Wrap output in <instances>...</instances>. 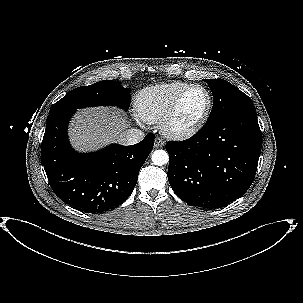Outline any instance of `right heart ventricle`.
I'll return each instance as SVG.
<instances>
[{"label":"right heart ventricle","mask_w":303,"mask_h":303,"mask_svg":"<svg viewBox=\"0 0 303 303\" xmlns=\"http://www.w3.org/2000/svg\"><path fill=\"white\" fill-rule=\"evenodd\" d=\"M189 85L187 82L173 81L143 88L135 98L138 116L146 123L159 122L176 97Z\"/></svg>","instance_id":"obj_1"}]
</instances>
